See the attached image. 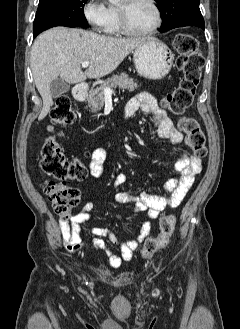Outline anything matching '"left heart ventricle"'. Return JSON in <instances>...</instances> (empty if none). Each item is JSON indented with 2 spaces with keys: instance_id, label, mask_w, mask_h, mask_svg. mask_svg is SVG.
<instances>
[{
  "instance_id": "obj_1",
  "label": "left heart ventricle",
  "mask_w": 240,
  "mask_h": 329,
  "mask_svg": "<svg viewBox=\"0 0 240 329\" xmlns=\"http://www.w3.org/2000/svg\"><path fill=\"white\" fill-rule=\"evenodd\" d=\"M120 6L126 8L129 25L134 30H146L155 23V11L148 0H134L129 4L122 0Z\"/></svg>"
}]
</instances>
